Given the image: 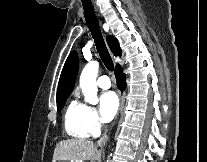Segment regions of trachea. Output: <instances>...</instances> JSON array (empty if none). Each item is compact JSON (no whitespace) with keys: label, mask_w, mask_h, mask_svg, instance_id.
Returning a JSON list of instances; mask_svg holds the SVG:
<instances>
[{"label":"trachea","mask_w":207,"mask_h":162,"mask_svg":"<svg viewBox=\"0 0 207 162\" xmlns=\"http://www.w3.org/2000/svg\"><path fill=\"white\" fill-rule=\"evenodd\" d=\"M81 1H82V5L84 8L85 19H86L87 25L89 27V30L91 31L92 36L94 38L96 49H97L104 65L106 66V68L109 71H113L114 64H113L112 58L107 50V47L105 45L97 18L94 14L92 3L90 0H81Z\"/></svg>","instance_id":"3493384b"}]
</instances>
